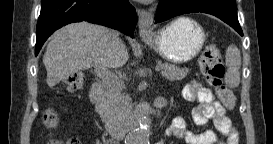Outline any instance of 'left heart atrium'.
<instances>
[{"label":"left heart atrium","mask_w":273,"mask_h":144,"mask_svg":"<svg viewBox=\"0 0 273 144\" xmlns=\"http://www.w3.org/2000/svg\"><path fill=\"white\" fill-rule=\"evenodd\" d=\"M143 2H149L150 0H142Z\"/></svg>","instance_id":"1"}]
</instances>
